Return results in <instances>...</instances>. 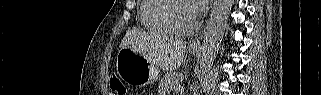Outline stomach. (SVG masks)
Listing matches in <instances>:
<instances>
[{
    "label": "stomach",
    "mask_w": 321,
    "mask_h": 95,
    "mask_svg": "<svg viewBox=\"0 0 321 95\" xmlns=\"http://www.w3.org/2000/svg\"><path fill=\"white\" fill-rule=\"evenodd\" d=\"M189 51L195 54L198 49L190 48ZM116 70L122 80L133 85L150 84L156 81L160 74L157 65L130 48H121L119 50Z\"/></svg>",
    "instance_id": "obj_1"
}]
</instances>
